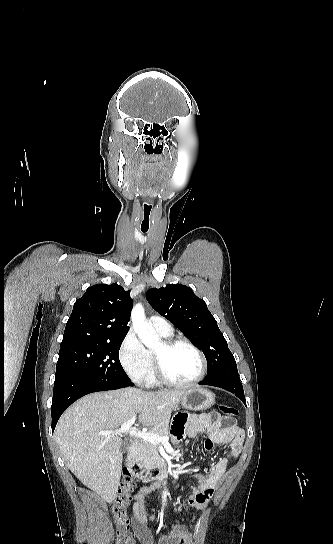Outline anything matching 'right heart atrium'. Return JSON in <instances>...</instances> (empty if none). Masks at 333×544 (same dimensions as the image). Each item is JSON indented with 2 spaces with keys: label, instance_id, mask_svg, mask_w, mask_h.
<instances>
[{
  "label": "right heart atrium",
  "instance_id": "1",
  "mask_svg": "<svg viewBox=\"0 0 333 544\" xmlns=\"http://www.w3.org/2000/svg\"><path fill=\"white\" fill-rule=\"evenodd\" d=\"M119 361L129 378L137 384H145L152 371L150 353L130 331L124 337L119 349Z\"/></svg>",
  "mask_w": 333,
  "mask_h": 544
}]
</instances>
